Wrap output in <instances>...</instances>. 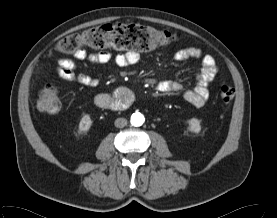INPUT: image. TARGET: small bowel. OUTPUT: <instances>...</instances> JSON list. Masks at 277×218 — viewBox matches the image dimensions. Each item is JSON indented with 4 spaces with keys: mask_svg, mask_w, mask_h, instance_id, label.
Returning a JSON list of instances; mask_svg holds the SVG:
<instances>
[{
    "mask_svg": "<svg viewBox=\"0 0 277 218\" xmlns=\"http://www.w3.org/2000/svg\"><path fill=\"white\" fill-rule=\"evenodd\" d=\"M199 59L201 68L196 74L195 86L193 89L184 92V98L190 104L201 107L209 97L208 85L217 75L218 69L215 60L210 55H205L198 48L189 47L178 51L174 55L176 61L186 59ZM77 61H88L92 64H107L113 61L118 68H125L137 64L140 61V56L135 52H125L116 54L114 57L108 51H98L89 53L85 49L79 50L73 54V58H62L58 61L56 70L58 75L69 81H76L79 84L95 88L99 86L100 79L85 72H79L77 69ZM156 89L162 93L178 92L183 89V85L177 81L162 80L156 85ZM128 92L124 87H119L116 90L118 95H123Z\"/></svg>",
    "mask_w": 277,
    "mask_h": 218,
    "instance_id": "obj_1",
    "label": "small bowel"
}]
</instances>
